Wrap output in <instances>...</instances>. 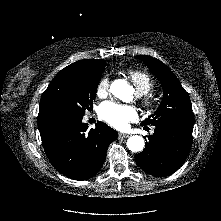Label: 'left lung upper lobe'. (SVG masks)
Segmentation results:
<instances>
[{"mask_svg": "<svg viewBox=\"0 0 221 221\" xmlns=\"http://www.w3.org/2000/svg\"><path fill=\"white\" fill-rule=\"evenodd\" d=\"M163 86L164 96L157 111L141 123L146 126H157L164 123L193 125L194 117L191 102L186 90L182 87L172 71L161 61L151 56L138 55Z\"/></svg>", "mask_w": 221, "mask_h": 221, "instance_id": "1", "label": "left lung upper lobe"}]
</instances>
